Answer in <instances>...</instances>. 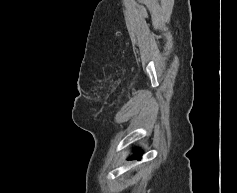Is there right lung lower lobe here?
Returning <instances> with one entry per match:
<instances>
[{
	"mask_svg": "<svg viewBox=\"0 0 237 193\" xmlns=\"http://www.w3.org/2000/svg\"><path fill=\"white\" fill-rule=\"evenodd\" d=\"M141 154H142L141 151H136L134 157H135V158H140Z\"/></svg>",
	"mask_w": 237,
	"mask_h": 193,
	"instance_id": "98d812e1",
	"label": "right lung lower lobe"
}]
</instances>
